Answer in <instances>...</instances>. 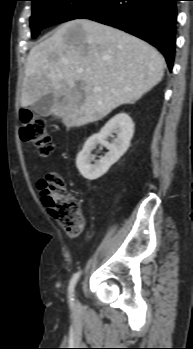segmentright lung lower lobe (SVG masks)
I'll use <instances>...</instances> for the list:
<instances>
[{"label": "right lung lower lobe", "mask_w": 193, "mask_h": 349, "mask_svg": "<svg viewBox=\"0 0 193 349\" xmlns=\"http://www.w3.org/2000/svg\"><path fill=\"white\" fill-rule=\"evenodd\" d=\"M176 1L99 0L80 19H90L133 34L157 47L171 70L176 34Z\"/></svg>", "instance_id": "right-lung-lower-lobe-1"}]
</instances>
